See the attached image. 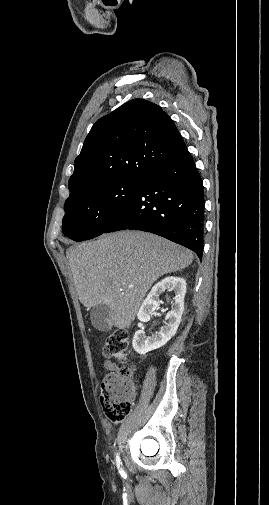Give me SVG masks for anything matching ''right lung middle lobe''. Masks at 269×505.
<instances>
[{
    "label": "right lung middle lobe",
    "mask_w": 269,
    "mask_h": 505,
    "mask_svg": "<svg viewBox=\"0 0 269 505\" xmlns=\"http://www.w3.org/2000/svg\"><path fill=\"white\" fill-rule=\"evenodd\" d=\"M140 181L122 180L90 187L65 202L62 229L75 241L101 235L137 192Z\"/></svg>",
    "instance_id": "obj_1"
}]
</instances>
